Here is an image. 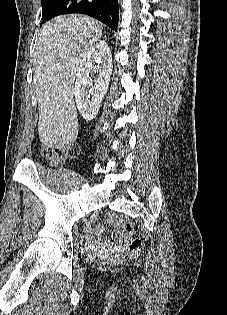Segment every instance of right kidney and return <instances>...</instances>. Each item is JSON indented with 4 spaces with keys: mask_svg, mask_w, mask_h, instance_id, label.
I'll list each match as a JSON object with an SVG mask.
<instances>
[{
    "mask_svg": "<svg viewBox=\"0 0 227 315\" xmlns=\"http://www.w3.org/2000/svg\"><path fill=\"white\" fill-rule=\"evenodd\" d=\"M96 72L99 75L94 80L93 90L87 91V87L91 85L90 74ZM111 73V51L106 41L102 40L87 51L76 73L74 95L77 108L85 120L91 121L96 117L108 90Z\"/></svg>",
    "mask_w": 227,
    "mask_h": 315,
    "instance_id": "ca27d5eb",
    "label": "right kidney"
}]
</instances>
